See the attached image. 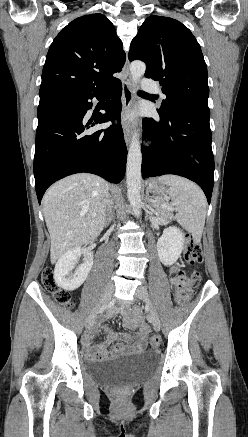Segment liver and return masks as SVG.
I'll return each mask as SVG.
<instances>
[{
  "label": "liver",
  "mask_w": 248,
  "mask_h": 437,
  "mask_svg": "<svg viewBox=\"0 0 248 437\" xmlns=\"http://www.w3.org/2000/svg\"><path fill=\"white\" fill-rule=\"evenodd\" d=\"M108 201L107 182L92 174L66 177L47 190L42 204L51 238V263L67 251L93 242L100 235L105 225Z\"/></svg>",
  "instance_id": "1"
}]
</instances>
